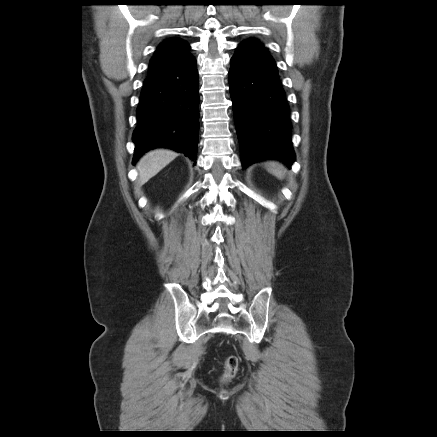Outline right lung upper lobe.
Returning <instances> with one entry per match:
<instances>
[{
	"instance_id": "right-lung-upper-lobe-1",
	"label": "right lung upper lobe",
	"mask_w": 437,
	"mask_h": 437,
	"mask_svg": "<svg viewBox=\"0 0 437 437\" xmlns=\"http://www.w3.org/2000/svg\"><path fill=\"white\" fill-rule=\"evenodd\" d=\"M190 46L179 38H170L162 42L150 61L149 73L172 65L189 56Z\"/></svg>"
}]
</instances>
